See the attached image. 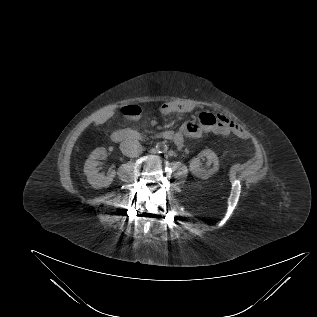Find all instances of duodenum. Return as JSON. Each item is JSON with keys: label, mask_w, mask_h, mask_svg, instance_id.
I'll return each mask as SVG.
<instances>
[{"label": "duodenum", "mask_w": 317, "mask_h": 317, "mask_svg": "<svg viewBox=\"0 0 317 317\" xmlns=\"http://www.w3.org/2000/svg\"><path fill=\"white\" fill-rule=\"evenodd\" d=\"M159 137L166 140H171L174 138L173 131L166 130L159 134ZM111 138L116 143H121L125 141H136L142 139V134L135 130H115Z\"/></svg>", "instance_id": "1"}]
</instances>
